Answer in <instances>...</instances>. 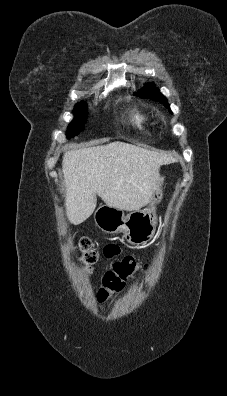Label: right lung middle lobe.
I'll return each mask as SVG.
<instances>
[{
    "mask_svg": "<svg viewBox=\"0 0 227 396\" xmlns=\"http://www.w3.org/2000/svg\"><path fill=\"white\" fill-rule=\"evenodd\" d=\"M87 112V104L85 102H81L77 104L74 108V119L69 124L67 129V138L78 135L84 129V118Z\"/></svg>",
    "mask_w": 227,
    "mask_h": 396,
    "instance_id": "dd1d6c3e",
    "label": "right lung middle lobe"
}]
</instances>
